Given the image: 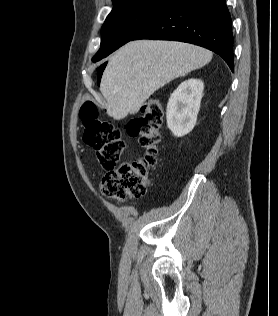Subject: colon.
I'll return each instance as SVG.
<instances>
[{
  "instance_id": "obj_1",
  "label": "colon",
  "mask_w": 278,
  "mask_h": 316,
  "mask_svg": "<svg viewBox=\"0 0 278 316\" xmlns=\"http://www.w3.org/2000/svg\"><path fill=\"white\" fill-rule=\"evenodd\" d=\"M83 140L95 149L101 166L106 170L100 184L102 194L108 198L127 201L146 194L149 169L157 162L163 110L156 100L148 101L142 115L127 124V132L138 136L145 148V156L137 161L120 163L125 142L120 130L99 116L93 102H85L80 109Z\"/></svg>"
}]
</instances>
